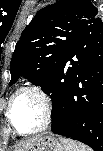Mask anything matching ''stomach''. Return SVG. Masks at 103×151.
I'll use <instances>...</instances> for the list:
<instances>
[{
	"label": "stomach",
	"mask_w": 103,
	"mask_h": 151,
	"mask_svg": "<svg viewBox=\"0 0 103 151\" xmlns=\"http://www.w3.org/2000/svg\"><path fill=\"white\" fill-rule=\"evenodd\" d=\"M60 138L54 136H37L26 151H64Z\"/></svg>",
	"instance_id": "0dacf381"
}]
</instances>
